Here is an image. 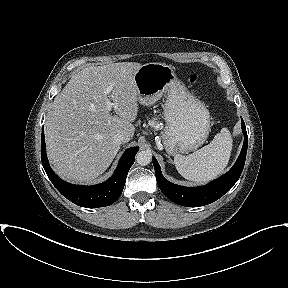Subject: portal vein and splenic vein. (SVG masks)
I'll return each mask as SVG.
<instances>
[{
  "label": "portal vein and splenic vein",
  "instance_id": "1",
  "mask_svg": "<svg viewBox=\"0 0 288 288\" xmlns=\"http://www.w3.org/2000/svg\"><path fill=\"white\" fill-rule=\"evenodd\" d=\"M111 91V88H107L104 92L105 96ZM108 110H111L112 107H116L114 103L107 100L106 102Z\"/></svg>",
  "mask_w": 288,
  "mask_h": 288
}]
</instances>
